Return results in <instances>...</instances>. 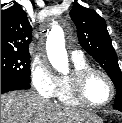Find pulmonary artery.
<instances>
[{
  "label": "pulmonary artery",
  "instance_id": "1",
  "mask_svg": "<svg viewBox=\"0 0 122 123\" xmlns=\"http://www.w3.org/2000/svg\"><path fill=\"white\" fill-rule=\"evenodd\" d=\"M71 57L73 59L81 58V57H83V53L81 50H72L71 51Z\"/></svg>",
  "mask_w": 122,
  "mask_h": 123
}]
</instances>
